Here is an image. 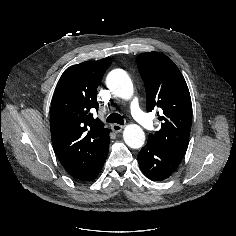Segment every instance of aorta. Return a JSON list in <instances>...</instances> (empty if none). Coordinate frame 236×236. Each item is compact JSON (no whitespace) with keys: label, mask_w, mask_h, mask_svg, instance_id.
I'll return each mask as SVG.
<instances>
[{"label":"aorta","mask_w":236,"mask_h":236,"mask_svg":"<svg viewBox=\"0 0 236 236\" xmlns=\"http://www.w3.org/2000/svg\"><path fill=\"white\" fill-rule=\"evenodd\" d=\"M106 84L120 98L130 99L133 95L132 81L122 69L112 70L107 76ZM123 138L125 143L133 149L141 148L145 142L144 131L136 124H130L125 127Z\"/></svg>","instance_id":"obj_1"}]
</instances>
